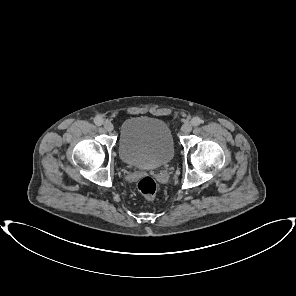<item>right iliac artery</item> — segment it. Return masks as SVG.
<instances>
[{
  "instance_id": "obj_1",
  "label": "right iliac artery",
  "mask_w": 296,
  "mask_h": 296,
  "mask_svg": "<svg viewBox=\"0 0 296 296\" xmlns=\"http://www.w3.org/2000/svg\"><path fill=\"white\" fill-rule=\"evenodd\" d=\"M94 122L96 125L101 126L103 124V119L101 117H96Z\"/></svg>"
}]
</instances>
